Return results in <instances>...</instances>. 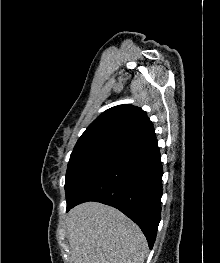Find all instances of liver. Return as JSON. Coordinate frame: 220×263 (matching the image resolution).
I'll return each instance as SVG.
<instances>
[{"label":"liver","instance_id":"1","mask_svg":"<svg viewBox=\"0 0 220 263\" xmlns=\"http://www.w3.org/2000/svg\"><path fill=\"white\" fill-rule=\"evenodd\" d=\"M72 263H144L148 251L140 228L116 208L87 202L66 218Z\"/></svg>","mask_w":220,"mask_h":263}]
</instances>
